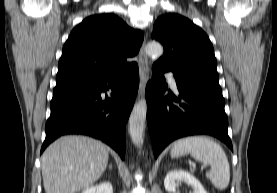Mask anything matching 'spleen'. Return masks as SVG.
Returning <instances> with one entry per match:
<instances>
[{"instance_id":"1","label":"spleen","mask_w":277,"mask_h":193,"mask_svg":"<svg viewBox=\"0 0 277 193\" xmlns=\"http://www.w3.org/2000/svg\"><path fill=\"white\" fill-rule=\"evenodd\" d=\"M171 157L190 154L195 160L209 164L206 177L218 190H225L230 181V166L222 147L205 136H190L174 142Z\"/></svg>"}]
</instances>
